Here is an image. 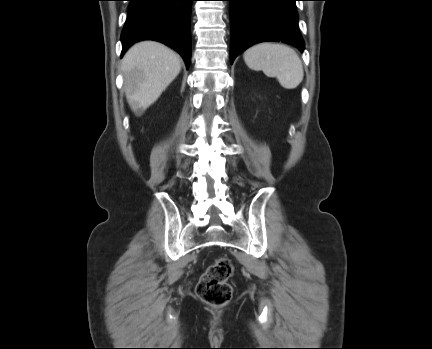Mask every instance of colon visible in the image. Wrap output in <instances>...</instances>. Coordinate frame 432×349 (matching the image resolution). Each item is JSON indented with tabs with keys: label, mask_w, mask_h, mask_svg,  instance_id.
<instances>
[{
	"label": "colon",
	"mask_w": 432,
	"mask_h": 349,
	"mask_svg": "<svg viewBox=\"0 0 432 349\" xmlns=\"http://www.w3.org/2000/svg\"><path fill=\"white\" fill-rule=\"evenodd\" d=\"M233 271L234 267L229 258H217L201 276L196 287L197 295L212 306L226 305L232 297V287L228 280Z\"/></svg>",
	"instance_id": "5ec220e1"
}]
</instances>
